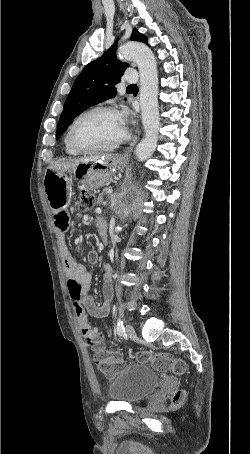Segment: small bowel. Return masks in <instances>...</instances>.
<instances>
[{
  "label": "small bowel",
  "instance_id": "c3829d8e",
  "mask_svg": "<svg viewBox=\"0 0 250 454\" xmlns=\"http://www.w3.org/2000/svg\"><path fill=\"white\" fill-rule=\"evenodd\" d=\"M45 192L53 211L54 222L57 229L65 232L69 226L68 207L76 192V181L71 173H58L50 171L45 177ZM99 233L105 237L104 222L97 224ZM63 264L67 274V287L73 300V308L77 317L80 331L87 342H93L98 331L89 322V314L95 317H106L111 310L112 289L109 284L112 269L105 267L106 284L104 286L105 302L95 303L86 293L91 289V274L88 269L79 264L66 249L63 250ZM88 260H97V252L90 250Z\"/></svg>",
  "mask_w": 250,
  "mask_h": 454
}]
</instances>
